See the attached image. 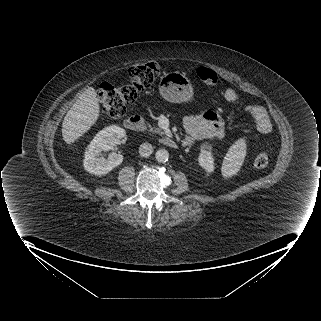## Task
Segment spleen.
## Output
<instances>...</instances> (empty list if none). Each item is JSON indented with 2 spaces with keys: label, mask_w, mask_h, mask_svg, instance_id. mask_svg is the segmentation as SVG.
I'll use <instances>...</instances> for the list:
<instances>
[{
  "label": "spleen",
  "mask_w": 321,
  "mask_h": 321,
  "mask_svg": "<svg viewBox=\"0 0 321 321\" xmlns=\"http://www.w3.org/2000/svg\"><path fill=\"white\" fill-rule=\"evenodd\" d=\"M246 155V143L243 138L238 139L228 150L222 165V174L229 177L235 174L242 165Z\"/></svg>",
  "instance_id": "3e777b00"
}]
</instances>
